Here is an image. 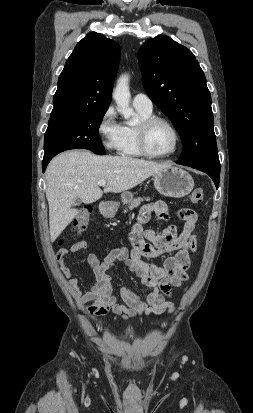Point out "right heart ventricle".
Wrapping results in <instances>:
<instances>
[{
    "instance_id": "right-heart-ventricle-1",
    "label": "right heart ventricle",
    "mask_w": 253,
    "mask_h": 413,
    "mask_svg": "<svg viewBox=\"0 0 253 413\" xmlns=\"http://www.w3.org/2000/svg\"><path fill=\"white\" fill-rule=\"evenodd\" d=\"M137 112L141 119L151 116L152 112H146L140 109H137ZM124 140L122 147L120 149V153L123 156L127 157H141L143 154L141 153L138 142H137V133H136V126L133 125H124Z\"/></svg>"
}]
</instances>
